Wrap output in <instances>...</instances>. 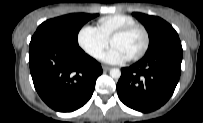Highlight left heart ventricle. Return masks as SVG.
I'll return each instance as SVG.
<instances>
[{
  "mask_svg": "<svg viewBox=\"0 0 203 123\" xmlns=\"http://www.w3.org/2000/svg\"><path fill=\"white\" fill-rule=\"evenodd\" d=\"M144 45V35L141 30H134L113 40L112 46L119 48L129 58L137 54Z\"/></svg>",
  "mask_w": 203,
  "mask_h": 123,
  "instance_id": "1",
  "label": "left heart ventricle"
}]
</instances>
